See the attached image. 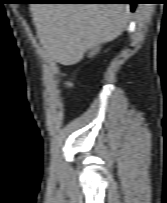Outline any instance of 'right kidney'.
Listing matches in <instances>:
<instances>
[{"label": "right kidney", "instance_id": "1", "mask_svg": "<svg viewBox=\"0 0 167 203\" xmlns=\"http://www.w3.org/2000/svg\"><path fill=\"white\" fill-rule=\"evenodd\" d=\"M99 50H100V47L94 48V49L90 52L89 56L91 57V56L95 55L97 52H99Z\"/></svg>", "mask_w": 167, "mask_h": 203}]
</instances>
